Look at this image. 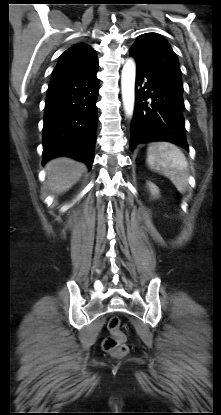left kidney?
I'll list each match as a JSON object with an SVG mask.
<instances>
[{"mask_svg": "<svg viewBox=\"0 0 221 415\" xmlns=\"http://www.w3.org/2000/svg\"><path fill=\"white\" fill-rule=\"evenodd\" d=\"M148 186H149V188H150L151 193H152L154 196H155V195H158L159 190H158V188H157V186H156V185H154L153 183H148Z\"/></svg>", "mask_w": 221, "mask_h": 415, "instance_id": "obj_1", "label": "left kidney"}]
</instances>
